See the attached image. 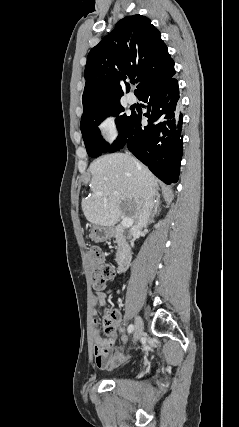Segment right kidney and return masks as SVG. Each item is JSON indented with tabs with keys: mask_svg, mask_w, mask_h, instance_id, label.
Segmentation results:
<instances>
[{
	"mask_svg": "<svg viewBox=\"0 0 239 427\" xmlns=\"http://www.w3.org/2000/svg\"><path fill=\"white\" fill-rule=\"evenodd\" d=\"M155 227H156V228H157V227H159V224H157Z\"/></svg>",
	"mask_w": 239,
	"mask_h": 427,
	"instance_id": "1",
	"label": "right kidney"
}]
</instances>
